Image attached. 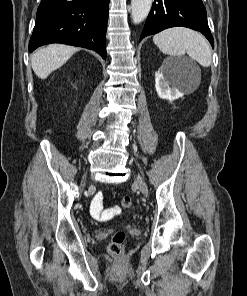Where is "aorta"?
<instances>
[{"label": "aorta", "mask_w": 247, "mask_h": 296, "mask_svg": "<svg viewBox=\"0 0 247 296\" xmlns=\"http://www.w3.org/2000/svg\"><path fill=\"white\" fill-rule=\"evenodd\" d=\"M152 0H131L132 21L135 24L142 22L149 14Z\"/></svg>", "instance_id": "obj_1"}]
</instances>
